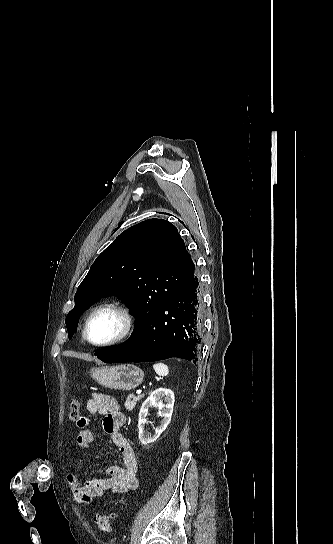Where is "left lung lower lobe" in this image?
<instances>
[{"mask_svg": "<svg viewBox=\"0 0 333 544\" xmlns=\"http://www.w3.org/2000/svg\"><path fill=\"white\" fill-rule=\"evenodd\" d=\"M203 326L201 285L195 269L182 287L154 314L134 328L123 344L95 355L106 363L158 361L178 357L196 361Z\"/></svg>", "mask_w": 333, "mask_h": 544, "instance_id": "obj_1", "label": "left lung lower lobe"}]
</instances>
